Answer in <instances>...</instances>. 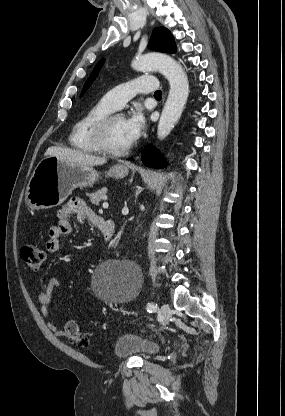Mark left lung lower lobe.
<instances>
[{
    "label": "left lung lower lobe",
    "mask_w": 285,
    "mask_h": 416,
    "mask_svg": "<svg viewBox=\"0 0 285 416\" xmlns=\"http://www.w3.org/2000/svg\"><path fill=\"white\" fill-rule=\"evenodd\" d=\"M129 160L133 161L134 159L130 158ZM142 162L146 166H150L153 168H162L166 165L162 157L156 151V149L151 146H148L143 150Z\"/></svg>",
    "instance_id": "1"
}]
</instances>
